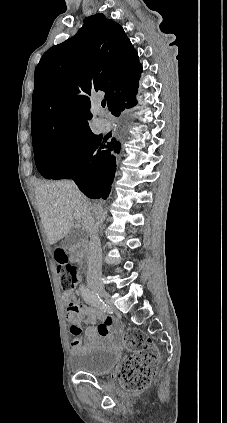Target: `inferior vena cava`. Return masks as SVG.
Returning a JSON list of instances; mask_svg holds the SVG:
<instances>
[{"mask_svg":"<svg viewBox=\"0 0 227 423\" xmlns=\"http://www.w3.org/2000/svg\"><path fill=\"white\" fill-rule=\"evenodd\" d=\"M83 208H84V219L83 225L87 227L89 231V267H88V283H93V281H99L100 277H102V249H101V241L100 237H98L97 229L95 227L96 221L94 219L93 213H91L90 208L86 202L83 200ZM102 221L100 217H98V223Z\"/></svg>","mask_w":227,"mask_h":423,"instance_id":"1","label":"inferior vena cava"}]
</instances>
